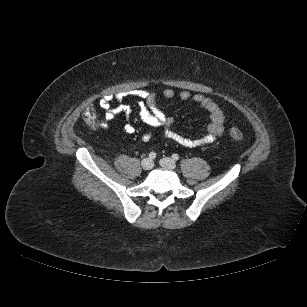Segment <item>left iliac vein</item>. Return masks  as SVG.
Masks as SVG:
<instances>
[{
  "label": "left iliac vein",
  "mask_w": 307,
  "mask_h": 307,
  "mask_svg": "<svg viewBox=\"0 0 307 307\" xmlns=\"http://www.w3.org/2000/svg\"><path fill=\"white\" fill-rule=\"evenodd\" d=\"M160 164L163 168L173 170L176 167V162L169 157L162 158L160 160Z\"/></svg>",
  "instance_id": "4c4485c4"
}]
</instances>
